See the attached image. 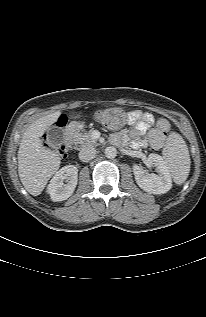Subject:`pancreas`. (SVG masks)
<instances>
[{"label":"pancreas","instance_id":"1","mask_svg":"<svg viewBox=\"0 0 206 317\" xmlns=\"http://www.w3.org/2000/svg\"><path fill=\"white\" fill-rule=\"evenodd\" d=\"M71 139L75 144H80L82 147L96 145V140L92 138L91 131L79 132L73 129L71 132Z\"/></svg>","mask_w":206,"mask_h":317}]
</instances>
